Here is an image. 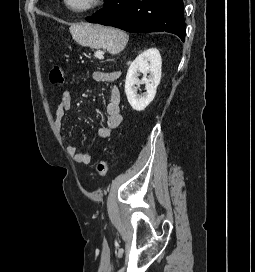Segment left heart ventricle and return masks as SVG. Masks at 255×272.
Segmentation results:
<instances>
[{
	"mask_svg": "<svg viewBox=\"0 0 255 272\" xmlns=\"http://www.w3.org/2000/svg\"><path fill=\"white\" fill-rule=\"evenodd\" d=\"M71 1L74 6L82 7L87 5L90 0H71Z\"/></svg>",
	"mask_w": 255,
	"mask_h": 272,
	"instance_id": "1",
	"label": "left heart ventricle"
}]
</instances>
